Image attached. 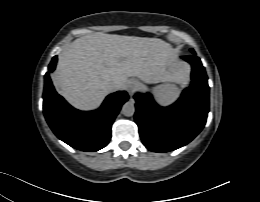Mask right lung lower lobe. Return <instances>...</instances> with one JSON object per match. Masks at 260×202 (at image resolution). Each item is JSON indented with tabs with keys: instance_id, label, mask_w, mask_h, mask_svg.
I'll use <instances>...</instances> for the list:
<instances>
[{
	"instance_id": "right-lung-lower-lobe-1",
	"label": "right lung lower lobe",
	"mask_w": 260,
	"mask_h": 202,
	"mask_svg": "<svg viewBox=\"0 0 260 202\" xmlns=\"http://www.w3.org/2000/svg\"><path fill=\"white\" fill-rule=\"evenodd\" d=\"M54 56L45 74L43 112L55 135L71 147L82 151H98L111 139V127L121 106L128 100L125 91L107 96L98 110L84 112L70 106L55 91L49 73L55 69Z\"/></svg>"
}]
</instances>
